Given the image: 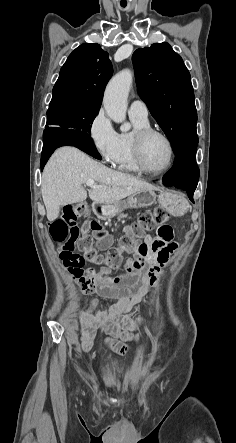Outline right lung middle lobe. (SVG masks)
Returning <instances> with one entry per match:
<instances>
[{"label":"right lung middle lobe","instance_id":"dd1d6c3e","mask_svg":"<svg viewBox=\"0 0 236 443\" xmlns=\"http://www.w3.org/2000/svg\"><path fill=\"white\" fill-rule=\"evenodd\" d=\"M99 109L73 105L67 102L50 104L45 130L66 129L65 132L91 139V125ZM44 130V131H45Z\"/></svg>","mask_w":236,"mask_h":443}]
</instances>
